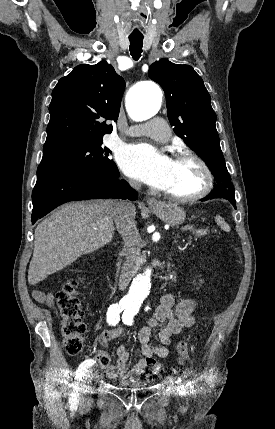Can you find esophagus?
<instances>
[{"label":"esophagus","mask_w":275,"mask_h":429,"mask_svg":"<svg viewBox=\"0 0 275 429\" xmlns=\"http://www.w3.org/2000/svg\"><path fill=\"white\" fill-rule=\"evenodd\" d=\"M147 205L149 207H159L160 203L155 198H148L147 199Z\"/></svg>","instance_id":"esophagus-1"}]
</instances>
